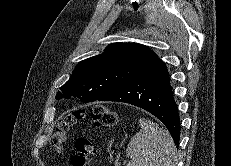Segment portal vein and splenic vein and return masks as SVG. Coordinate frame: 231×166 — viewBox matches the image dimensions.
Instances as JSON below:
<instances>
[{"mask_svg":"<svg viewBox=\"0 0 231 166\" xmlns=\"http://www.w3.org/2000/svg\"><path fill=\"white\" fill-rule=\"evenodd\" d=\"M127 166H131V164H130V163H128V164H127Z\"/></svg>","mask_w":231,"mask_h":166,"instance_id":"portal-vein-and-splenic-vein-1","label":"portal vein and splenic vein"}]
</instances>
